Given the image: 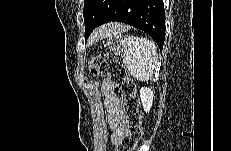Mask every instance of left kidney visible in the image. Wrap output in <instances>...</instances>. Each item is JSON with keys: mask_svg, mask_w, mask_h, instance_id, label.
<instances>
[{"mask_svg": "<svg viewBox=\"0 0 231 151\" xmlns=\"http://www.w3.org/2000/svg\"><path fill=\"white\" fill-rule=\"evenodd\" d=\"M140 98L145 112H149L153 103L154 93L150 88L140 89Z\"/></svg>", "mask_w": 231, "mask_h": 151, "instance_id": "left-kidney-1", "label": "left kidney"}]
</instances>
